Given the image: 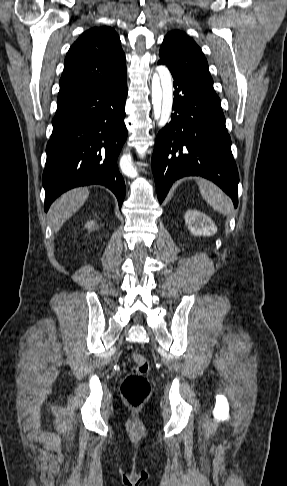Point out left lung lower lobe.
<instances>
[{
    "label": "left lung lower lobe",
    "mask_w": 287,
    "mask_h": 486,
    "mask_svg": "<svg viewBox=\"0 0 287 486\" xmlns=\"http://www.w3.org/2000/svg\"><path fill=\"white\" fill-rule=\"evenodd\" d=\"M174 78L171 121L159 132L152 169L159 202L172 183L196 175L212 180L238 205V170L231 152L221 101L216 93L169 67Z\"/></svg>",
    "instance_id": "obj_1"
}]
</instances>
